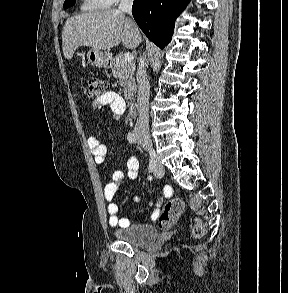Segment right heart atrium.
<instances>
[{"mask_svg": "<svg viewBox=\"0 0 288 293\" xmlns=\"http://www.w3.org/2000/svg\"><path fill=\"white\" fill-rule=\"evenodd\" d=\"M111 5L118 3L120 0H107Z\"/></svg>", "mask_w": 288, "mask_h": 293, "instance_id": "d8ad5b80", "label": "right heart atrium"}]
</instances>
